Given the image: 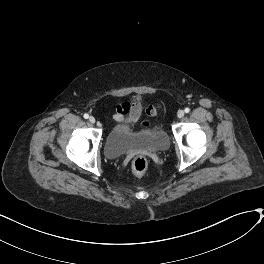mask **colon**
Returning <instances> with one entry per match:
<instances>
[{
	"label": "colon",
	"mask_w": 264,
	"mask_h": 264,
	"mask_svg": "<svg viewBox=\"0 0 264 264\" xmlns=\"http://www.w3.org/2000/svg\"><path fill=\"white\" fill-rule=\"evenodd\" d=\"M159 107L150 106L147 110L148 115L154 116L158 113ZM148 168V161L144 156H137L132 162V171L135 175H142Z\"/></svg>",
	"instance_id": "1"
}]
</instances>
